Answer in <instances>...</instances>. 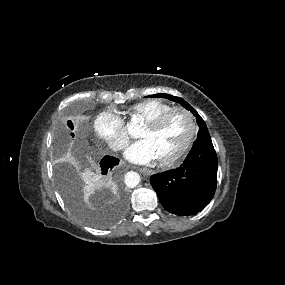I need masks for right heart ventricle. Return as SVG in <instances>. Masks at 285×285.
Returning <instances> with one entry per match:
<instances>
[{"mask_svg": "<svg viewBox=\"0 0 285 285\" xmlns=\"http://www.w3.org/2000/svg\"><path fill=\"white\" fill-rule=\"evenodd\" d=\"M173 106L160 99H147L135 104L130 112L133 116L143 119L145 122L157 117Z\"/></svg>", "mask_w": 285, "mask_h": 285, "instance_id": "e07e8e85", "label": "right heart ventricle"}]
</instances>
